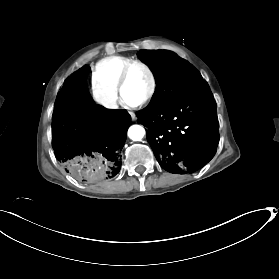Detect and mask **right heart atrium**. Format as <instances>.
<instances>
[{
    "instance_id": "obj_1",
    "label": "right heart atrium",
    "mask_w": 279,
    "mask_h": 279,
    "mask_svg": "<svg viewBox=\"0 0 279 279\" xmlns=\"http://www.w3.org/2000/svg\"><path fill=\"white\" fill-rule=\"evenodd\" d=\"M92 96L95 103L105 113L112 114L119 108L120 100L118 95L101 84H93Z\"/></svg>"
}]
</instances>
